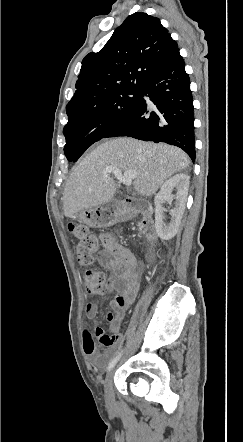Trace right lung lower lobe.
I'll use <instances>...</instances> for the list:
<instances>
[{
    "label": "right lung lower lobe",
    "instance_id": "98d812e1",
    "mask_svg": "<svg viewBox=\"0 0 243 442\" xmlns=\"http://www.w3.org/2000/svg\"><path fill=\"white\" fill-rule=\"evenodd\" d=\"M143 95L154 104L152 112ZM193 109L190 79L178 51L147 79L130 114L105 137L165 142L180 147L194 161Z\"/></svg>",
    "mask_w": 243,
    "mask_h": 442
}]
</instances>
